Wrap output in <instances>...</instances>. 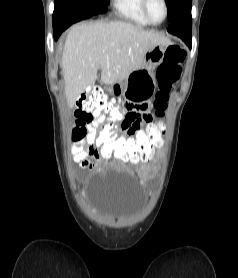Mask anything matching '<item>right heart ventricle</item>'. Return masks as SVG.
Here are the masks:
<instances>
[{
	"label": "right heart ventricle",
	"mask_w": 238,
	"mask_h": 278,
	"mask_svg": "<svg viewBox=\"0 0 238 278\" xmlns=\"http://www.w3.org/2000/svg\"><path fill=\"white\" fill-rule=\"evenodd\" d=\"M115 11L122 17L142 25L151 22L146 18L141 7V0H113Z\"/></svg>",
	"instance_id": "e07e8e85"
}]
</instances>
